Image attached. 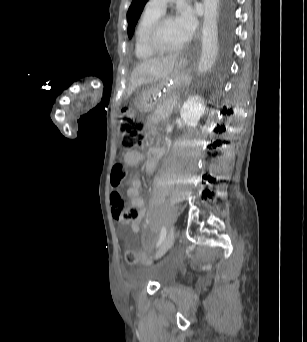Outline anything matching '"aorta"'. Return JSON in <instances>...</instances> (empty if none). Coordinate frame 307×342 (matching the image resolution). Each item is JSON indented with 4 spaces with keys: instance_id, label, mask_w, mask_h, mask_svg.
Returning <instances> with one entry per match:
<instances>
[{
    "instance_id": "obj_1",
    "label": "aorta",
    "mask_w": 307,
    "mask_h": 342,
    "mask_svg": "<svg viewBox=\"0 0 307 342\" xmlns=\"http://www.w3.org/2000/svg\"><path fill=\"white\" fill-rule=\"evenodd\" d=\"M204 22L202 28V54L198 70L205 72L213 66L218 54V8L219 0H204Z\"/></svg>"
}]
</instances>
